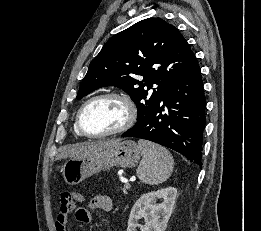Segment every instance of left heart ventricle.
Masks as SVG:
<instances>
[{
	"label": "left heart ventricle",
	"instance_id": "b2bd125f",
	"mask_svg": "<svg viewBox=\"0 0 261 231\" xmlns=\"http://www.w3.org/2000/svg\"><path fill=\"white\" fill-rule=\"evenodd\" d=\"M127 120V109L124 103L115 98H105L93 102L82 115V126L85 131L99 134L121 127Z\"/></svg>",
	"mask_w": 261,
	"mask_h": 231
}]
</instances>
